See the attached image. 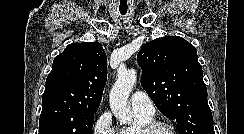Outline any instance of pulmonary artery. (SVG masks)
I'll return each instance as SVG.
<instances>
[{
	"label": "pulmonary artery",
	"mask_w": 244,
	"mask_h": 134,
	"mask_svg": "<svg viewBox=\"0 0 244 134\" xmlns=\"http://www.w3.org/2000/svg\"><path fill=\"white\" fill-rule=\"evenodd\" d=\"M130 104L134 112L147 116H153L155 114L154 104L145 92H134L130 98Z\"/></svg>",
	"instance_id": "obj_1"
}]
</instances>
